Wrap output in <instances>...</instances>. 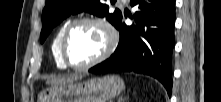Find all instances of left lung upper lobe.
Returning <instances> with one entry per match:
<instances>
[{
	"label": "left lung upper lobe",
	"mask_w": 221,
	"mask_h": 102,
	"mask_svg": "<svg viewBox=\"0 0 221 102\" xmlns=\"http://www.w3.org/2000/svg\"><path fill=\"white\" fill-rule=\"evenodd\" d=\"M88 11L100 17H106L116 28L118 27L122 14L116 9L109 13V7L104 0H46L42 12L41 43L44 42L53 27L71 14Z\"/></svg>",
	"instance_id": "obj_1"
}]
</instances>
